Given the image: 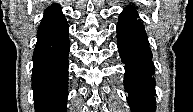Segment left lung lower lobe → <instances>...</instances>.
<instances>
[{"label":"left lung lower lobe","mask_w":193,"mask_h":112,"mask_svg":"<svg viewBox=\"0 0 193 112\" xmlns=\"http://www.w3.org/2000/svg\"><path fill=\"white\" fill-rule=\"evenodd\" d=\"M117 46L125 64L124 87L131 111L155 112L152 52L144 26L133 6H127L119 16Z\"/></svg>","instance_id":"0a47b994"}]
</instances>
